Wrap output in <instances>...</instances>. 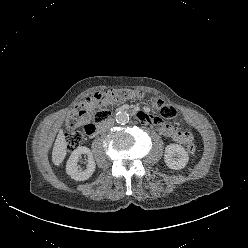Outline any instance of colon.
Masks as SVG:
<instances>
[{
  "label": "colon",
  "mask_w": 248,
  "mask_h": 248,
  "mask_svg": "<svg viewBox=\"0 0 248 248\" xmlns=\"http://www.w3.org/2000/svg\"><path fill=\"white\" fill-rule=\"evenodd\" d=\"M140 92L130 90L113 89L98 93L87 100L76 104L66 115L65 126L68 130L66 143L69 152L76 150L82 143L85 135H91L95 131V124L105 120L110 111L109 105L115 101L141 97ZM190 154L197 153V146L193 142L187 145Z\"/></svg>",
  "instance_id": "1"
}]
</instances>
